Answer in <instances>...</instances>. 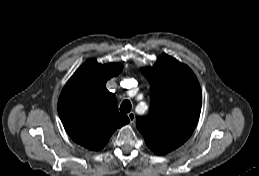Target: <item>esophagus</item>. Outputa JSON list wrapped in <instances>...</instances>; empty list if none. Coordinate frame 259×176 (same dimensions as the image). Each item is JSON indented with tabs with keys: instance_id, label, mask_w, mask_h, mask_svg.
<instances>
[{
	"instance_id": "esophagus-1",
	"label": "esophagus",
	"mask_w": 259,
	"mask_h": 176,
	"mask_svg": "<svg viewBox=\"0 0 259 176\" xmlns=\"http://www.w3.org/2000/svg\"><path fill=\"white\" fill-rule=\"evenodd\" d=\"M128 118L130 120V123H134L135 122V113L134 112L128 113Z\"/></svg>"
}]
</instances>
